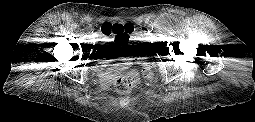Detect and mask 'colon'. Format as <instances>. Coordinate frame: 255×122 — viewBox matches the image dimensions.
Segmentation results:
<instances>
[{
  "label": "colon",
  "instance_id": "obj_1",
  "mask_svg": "<svg viewBox=\"0 0 255 122\" xmlns=\"http://www.w3.org/2000/svg\"><path fill=\"white\" fill-rule=\"evenodd\" d=\"M104 35L109 36L111 34L123 35L127 38L132 37L135 32V28L132 24H110L104 25L102 28ZM143 74L146 78H151L152 69L150 66L143 68ZM138 72L134 69L126 70L115 81V89L120 93H127L133 89L138 83Z\"/></svg>",
  "mask_w": 255,
  "mask_h": 122
}]
</instances>
